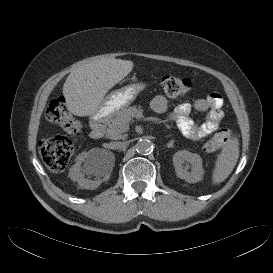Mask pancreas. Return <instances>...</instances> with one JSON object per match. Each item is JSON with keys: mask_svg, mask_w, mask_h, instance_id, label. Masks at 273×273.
<instances>
[{"mask_svg": "<svg viewBox=\"0 0 273 273\" xmlns=\"http://www.w3.org/2000/svg\"><path fill=\"white\" fill-rule=\"evenodd\" d=\"M143 110L139 107L132 106L129 108H124L119 111L114 118L111 120L106 136L110 139H124L127 131L128 124L133 118H140L142 116Z\"/></svg>", "mask_w": 273, "mask_h": 273, "instance_id": "1", "label": "pancreas"}]
</instances>
